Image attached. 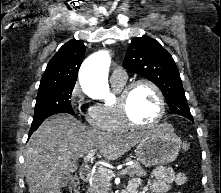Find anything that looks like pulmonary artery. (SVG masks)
<instances>
[{
    "label": "pulmonary artery",
    "mask_w": 221,
    "mask_h": 193,
    "mask_svg": "<svg viewBox=\"0 0 221 193\" xmlns=\"http://www.w3.org/2000/svg\"><path fill=\"white\" fill-rule=\"evenodd\" d=\"M127 79V73L124 69L122 68H116L113 70L111 74V81L112 82H125Z\"/></svg>",
    "instance_id": "obj_1"
}]
</instances>
